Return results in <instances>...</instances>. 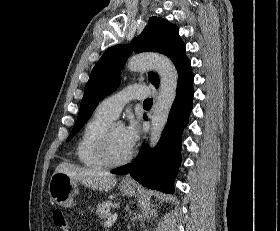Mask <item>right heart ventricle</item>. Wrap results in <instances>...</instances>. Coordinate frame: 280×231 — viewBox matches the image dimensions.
Listing matches in <instances>:
<instances>
[{"instance_id":"e07e8e85","label":"right heart ventricle","mask_w":280,"mask_h":231,"mask_svg":"<svg viewBox=\"0 0 280 231\" xmlns=\"http://www.w3.org/2000/svg\"><path fill=\"white\" fill-rule=\"evenodd\" d=\"M113 120L109 115L95 111L86 122L76 144L75 156L78 164L88 170H102L107 165L100 159L97 145L103 129Z\"/></svg>"}]
</instances>
